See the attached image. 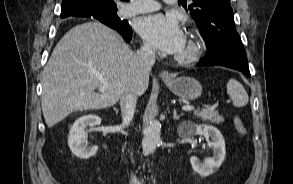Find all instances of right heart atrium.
Returning a JSON list of instances; mask_svg holds the SVG:
<instances>
[{
	"instance_id": "1",
	"label": "right heart atrium",
	"mask_w": 293,
	"mask_h": 184,
	"mask_svg": "<svg viewBox=\"0 0 293 184\" xmlns=\"http://www.w3.org/2000/svg\"><path fill=\"white\" fill-rule=\"evenodd\" d=\"M143 51L148 54H151V53H153V48L149 44L145 43L143 45Z\"/></svg>"
}]
</instances>
